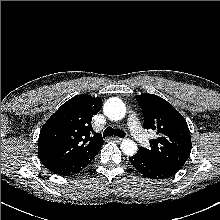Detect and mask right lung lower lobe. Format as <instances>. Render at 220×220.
Returning a JSON list of instances; mask_svg holds the SVG:
<instances>
[{
	"label": "right lung lower lobe",
	"instance_id": "1",
	"mask_svg": "<svg viewBox=\"0 0 220 220\" xmlns=\"http://www.w3.org/2000/svg\"><path fill=\"white\" fill-rule=\"evenodd\" d=\"M101 147L93 150L89 155L82 157L78 160H75L73 162H70L68 164H63L60 167H57L52 172L59 174V175H69L73 173L79 172L81 169H83L87 164H89L92 159L97 155Z\"/></svg>",
	"mask_w": 220,
	"mask_h": 220
}]
</instances>
